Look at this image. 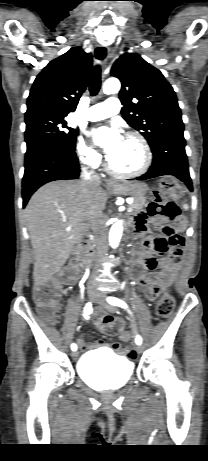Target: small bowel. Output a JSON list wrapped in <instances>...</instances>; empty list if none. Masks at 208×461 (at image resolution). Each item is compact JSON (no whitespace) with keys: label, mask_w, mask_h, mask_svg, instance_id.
Wrapping results in <instances>:
<instances>
[{"label":"small bowel","mask_w":208,"mask_h":461,"mask_svg":"<svg viewBox=\"0 0 208 461\" xmlns=\"http://www.w3.org/2000/svg\"><path fill=\"white\" fill-rule=\"evenodd\" d=\"M150 209H138L137 214H132L130 219L134 221V232L136 236L145 234L149 223L155 224L154 234H149V237H143V245L134 252V263L136 265V276L139 285L144 286L143 294L148 300H154L168 287L175 278L176 266L182 265V256H187L188 249L184 248V242L187 240L186 234H179L178 230L182 229V225H160V219H149ZM170 251L165 261L162 263L163 271L159 273H148L147 270L153 269L157 265L156 256ZM72 263H64V271H69L63 279L66 282L72 283L78 276V258L72 256ZM94 322L101 332L108 336L119 335L122 341H130L132 335L124 330V320L108 314L96 313ZM118 337L113 339L114 344H107L103 340H94L86 343L83 338L78 340L79 347L82 351L103 348L110 346L114 354H120L123 348L118 344Z\"/></svg>","instance_id":"c3829d8e"}]
</instances>
